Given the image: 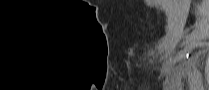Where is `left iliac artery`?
Returning a JSON list of instances; mask_svg holds the SVG:
<instances>
[{"mask_svg":"<svg viewBox=\"0 0 209 90\" xmlns=\"http://www.w3.org/2000/svg\"><path fill=\"white\" fill-rule=\"evenodd\" d=\"M194 76H195V79H196L197 86L198 87L201 86L202 80H201L200 73L197 69L194 70Z\"/></svg>","mask_w":209,"mask_h":90,"instance_id":"obj_1","label":"left iliac artery"}]
</instances>
